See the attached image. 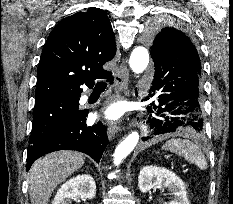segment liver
I'll use <instances>...</instances> for the list:
<instances>
[{
	"label": "liver",
	"instance_id": "liver-1",
	"mask_svg": "<svg viewBox=\"0 0 233 204\" xmlns=\"http://www.w3.org/2000/svg\"><path fill=\"white\" fill-rule=\"evenodd\" d=\"M84 157L74 151H57L38 159L29 171L31 204H48L54 189L84 164Z\"/></svg>",
	"mask_w": 233,
	"mask_h": 204
}]
</instances>
